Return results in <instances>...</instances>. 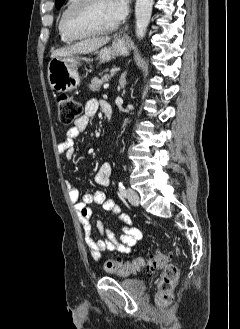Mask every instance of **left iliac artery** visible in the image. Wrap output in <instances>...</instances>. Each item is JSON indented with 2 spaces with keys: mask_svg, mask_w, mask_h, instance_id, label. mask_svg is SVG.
Returning a JSON list of instances; mask_svg holds the SVG:
<instances>
[{
  "mask_svg": "<svg viewBox=\"0 0 240 329\" xmlns=\"http://www.w3.org/2000/svg\"><path fill=\"white\" fill-rule=\"evenodd\" d=\"M118 187H119L120 194H121L123 197H126L127 192H126V189H125L123 183H122V182H119V183H118Z\"/></svg>",
  "mask_w": 240,
  "mask_h": 329,
  "instance_id": "left-iliac-artery-1",
  "label": "left iliac artery"
}]
</instances>
